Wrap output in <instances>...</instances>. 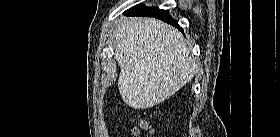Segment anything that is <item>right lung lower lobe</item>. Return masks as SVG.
I'll list each match as a JSON object with an SVG mask.
<instances>
[{"mask_svg":"<svg viewBox=\"0 0 280 137\" xmlns=\"http://www.w3.org/2000/svg\"><path fill=\"white\" fill-rule=\"evenodd\" d=\"M128 15L134 16H146V17H154L158 18L168 24H171L177 28H179L182 32L183 29L178 25V21H175L167 10L159 9L158 7H145L143 4H138L134 7H131L126 11Z\"/></svg>","mask_w":280,"mask_h":137,"instance_id":"right-lung-lower-lobe-1","label":"right lung lower lobe"}]
</instances>
